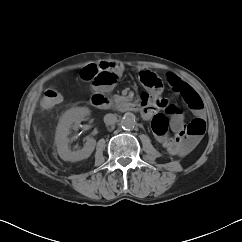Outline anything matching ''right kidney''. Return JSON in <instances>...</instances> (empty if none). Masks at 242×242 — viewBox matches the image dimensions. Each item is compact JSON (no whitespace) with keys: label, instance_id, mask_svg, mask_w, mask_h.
Returning a JSON list of instances; mask_svg holds the SVG:
<instances>
[{"label":"right kidney","instance_id":"right-kidney-1","mask_svg":"<svg viewBox=\"0 0 242 242\" xmlns=\"http://www.w3.org/2000/svg\"><path fill=\"white\" fill-rule=\"evenodd\" d=\"M90 114V110L86 107H77L67 110L60 118L56 136L55 144L57 152L64 161L76 162L88 158L95 149L96 140L92 137H86L84 147L77 151H72L69 148L71 141L68 135L71 129L77 130L78 125Z\"/></svg>","mask_w":242,"mask_h":242}]
</instances>
